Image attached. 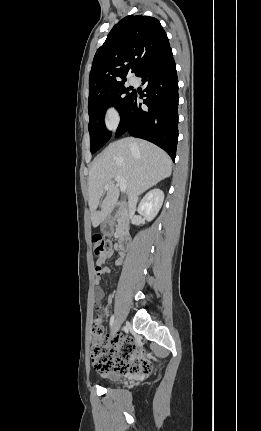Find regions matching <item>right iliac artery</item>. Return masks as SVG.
Wrapping results in <instances>:
<instances>
[{
  "label": "right iliac artery",
  "instance_id": "82829eb1",
  "mask_svg": "<svg viewBox=\"0 0 261 431\" xmlns=\"http://www.w3.org/2000/svg\"><path fill=\"white\" fill-rule=\"evenodd\" d=\"M113 324H114V315H112L110 318V327H112Z\"/></svg>",
  "mask_w": 261,
  "mask_h": 431
}]
</instances>
